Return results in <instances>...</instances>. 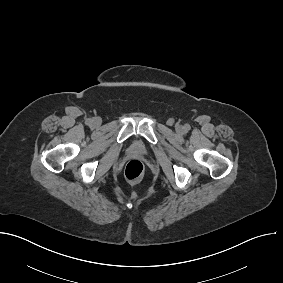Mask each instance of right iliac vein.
<instances>
[{
    "label": "right iliac vein",
    "mask_w": 283,
    "mask_h": 283,
    "mask_svg": "<svg viewBox=\"0 0 283 283\" xmlns=\"http://www.w3.org/2000/svg\"><path fill=\"white\" fill-rule=\"evenodd\" d=\"M93 123L95 125H99L100 124V120L98 118L93 119Z\"/></svg>",
    "instance_id": "obj_1"
}]
</instances>
